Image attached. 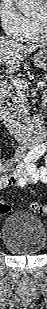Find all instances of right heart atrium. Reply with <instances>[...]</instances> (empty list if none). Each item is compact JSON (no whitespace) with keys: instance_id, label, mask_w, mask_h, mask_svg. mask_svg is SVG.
<instances>
[{"instance_id":"1","label":"right heart atrium","mask_w":47,"mask_h":309,"mask_svg":"<svg viewBox=\"0 0 47 309\" xmlns=\"http://www.w3.org/2000/svg\"><path fill=\"white\" fill-rule=\"evenodd\" d=\"M0 22L5 34L11 39L22 40L27 33V18L13 0H0Z\"/></svg>"}]
</instances>
